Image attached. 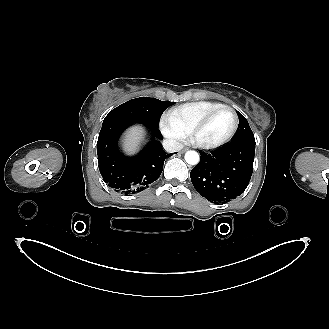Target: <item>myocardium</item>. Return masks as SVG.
Returning a JSON list of instances; mask_svg holds the SVG:
<instances>
[{
	"instance_id": "obj_1",
	"label": "myocardium",
	"mask_w": 329,
	"mask_h": 329,
	"mask_svg": "<svg viewBox=\"0 0 329 329\" xmlns=\"http://www.w3.org/2000/svg\"><path fill=\"white\" fill-rule=\"evenodd\" d=\"M223 110H229L234 117V124L233 127L230 131V133L222 140L220 141H215V142H204L198 139V133L200 132V130L202 128H204L207 123L219 112L223 111ZM239 126V117L238 114L236 112V110L228 105H222L214 110H212L211 112H209L207 115H205L201 120H199L190 130L189 135L190 138L192 140V142L199 148L202 149H212V148H216L219 146H222L224 144H226L227 142H229L234 135L237 132Z\"/></svg>"
}]
</instances>
